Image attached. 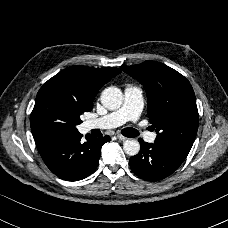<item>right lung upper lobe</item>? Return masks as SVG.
I'll return each instance as SVG.
<instances>
[{
  "label": "right lung upper lobe",
  "instance_id": "1",
  "mask_svg": "<svg viewBox=\"0 0 228 228\" xmlns=\"http://www.w3.org/2000/svg\"><path fill=\"white\" fill-rule=\"evenodd\" d=\"M121 72L118 68H92L71 66L49 79L69 90L87 112L92 110L93 100L99 89Z\"/></svg>",
  "mask_w": 228,
  "mask_h": 228
}]
</instances>
